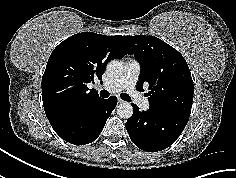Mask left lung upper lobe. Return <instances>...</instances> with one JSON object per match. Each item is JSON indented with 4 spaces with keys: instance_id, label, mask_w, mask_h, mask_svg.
Returning <instances> with one entry per match:
<instances>
[{
    "instance_id": "1",
    "label": "left lung upper lobe",
    "mask_w": 236,
    "mask_h": 178,
    "mask_svg": "<svg viewBox=\"0 0 236 178\" xmlns=\"http://www.w3.org/2000/svg\"><path fill=\"white\" fill-rule=\"evenodd\" d=\"M131 52L140 63L137 83L143 89L148 82L150 107L188 118L191 113L194 85L183 56L172 46L154 36H125Z\"/></svg>"
}]
</instances>
